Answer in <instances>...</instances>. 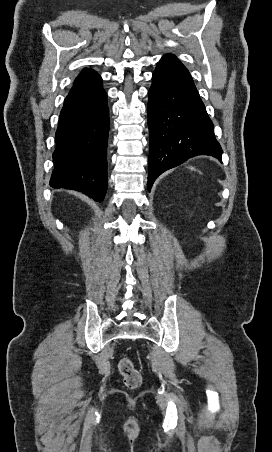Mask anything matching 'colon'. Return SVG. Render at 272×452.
Wrapping results in <instances>:
<instances>
[{
  "label": "colon",
  "mask_w": 272,
  "mask_h": 452,
  "mask_svg": "<svg viewBox=\"0 0 272 452\" xmlns=\"http://www.w3.org/2000/svg\"><path fill=\"white\" fill-rule=\"evenodd\" d=\"M118 369L129 389H137L140 386L141 374L129 358H122L118 363Z\"/></svg>",
  "instance_id": "5ec220e1"
}]
</instances>
